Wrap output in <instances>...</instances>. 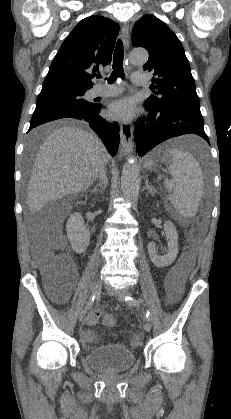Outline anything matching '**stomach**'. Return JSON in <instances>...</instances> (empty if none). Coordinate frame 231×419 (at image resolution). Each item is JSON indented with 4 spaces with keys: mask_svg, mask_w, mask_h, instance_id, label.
<instances>
[{
    "mask_svg": "<svg viewBox=\"0 0 231 419\" xmlns=\"http://www.w3.org/2000/svg\"><path fill=\"white\" fill-rule=\"evenodd\" d=\"M156 165V155L155 154H149L145 157L143 161V166L148 169L152 170Z\"/></svg>",
    "mask_w": 231,
    "mask_h": 419,
    "instance_id": "1",
    "label": "stomach"
}]
</instances>
